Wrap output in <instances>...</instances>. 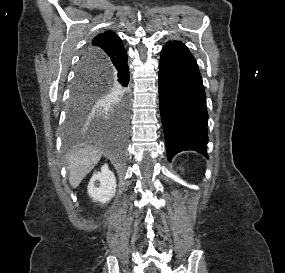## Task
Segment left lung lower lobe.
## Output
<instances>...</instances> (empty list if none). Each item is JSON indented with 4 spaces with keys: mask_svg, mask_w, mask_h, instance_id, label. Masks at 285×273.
Masks as SVG:
<instances>
[{
    "mask_svg": "<svg viewBox=\"0 0 285 273\" xmlns=\"http://www.w3.org/2000/svg\"><path fill=\"white\" fill-rule=\"evenodd\" d=\"M159 100L168 160L194 150L208 158L206 95L197 62L181 42H168L159 63Z\"/></svg>",
    "mask_w": 285,
    "mask_h": 273,
    "instance_id": "obj_1",
    "label": "left lung lower lobe"
}]
</instances>
